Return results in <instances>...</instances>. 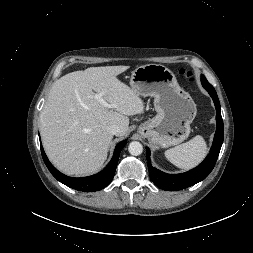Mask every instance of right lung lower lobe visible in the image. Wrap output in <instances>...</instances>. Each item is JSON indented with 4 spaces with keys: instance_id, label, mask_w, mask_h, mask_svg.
Instances as JSON below:
<instances>
[{
    "instance_id": "right-lung-lower-lobe-1",
    "label": "right lung lower lobe",
    "mask_w": 253,
    "mask_h": 253,
    "mask_svg": "<svg viewBox=\"0 0 253 253\" xmlns=\"http://www.w3.org/2000/svg\"><path fill=\"white\" fill-rule=\"evenodd\" d=\"M125 144H126V140H123L117 144L114 150V155L105 169H103L101 172L95 175H92L89 177H82V178L69 177L59 172L49 162L41 143H40V148H41L42 157L46 166L48 167L49 171L58 181L78 191L94 192V191H98L105 188L111 183L115 174V169L118 163L119 154L122 148L125 146Z\"/></svg>"
}]
</instances>
